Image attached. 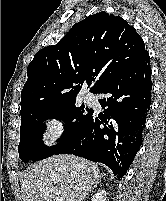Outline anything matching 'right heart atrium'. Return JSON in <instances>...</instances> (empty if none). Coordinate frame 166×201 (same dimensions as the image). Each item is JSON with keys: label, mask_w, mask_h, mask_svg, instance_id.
I'll use <instances>...</instances> for the list:
<instances>
[{"label": "right heart atrium", "mask_w": 166, "mask_h": 201, "mask_svg": "<svg viewBox=\"0 0 166 201\" xmlns=\"http://www.w3.org/2000/svg\"><path fill=\"white\" fill-rule=\"evenodd\" d=\"M63 133V122L58 118H49L44 124V137L53 143L60 139Z\"/></svg>", "instance_id": "obj_1"}]
</instances>
